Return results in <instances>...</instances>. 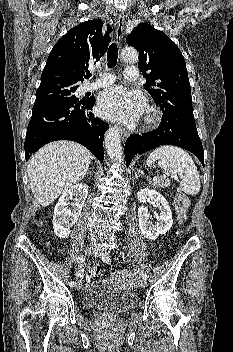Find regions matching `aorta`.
Instances as JSON below:
<instances>
[{"label":"aorta","mask_w":233,"mask_h":352,"mask_svg":"<svg viewBox=\"0 0 233 352\" xmlns=\"http://www.w3.org/2000/svg\"><path fill=\"white\" fill-rule=\"evenodd\" d=\"M124 61L136 62L138 53L133 48H125L121 53ZM105 149L111 161L121 164L123 162V151L121 147V135L118 127H111L105 134Z\"/></svg>","instance_id":"762f6f07"}]
</instances>
